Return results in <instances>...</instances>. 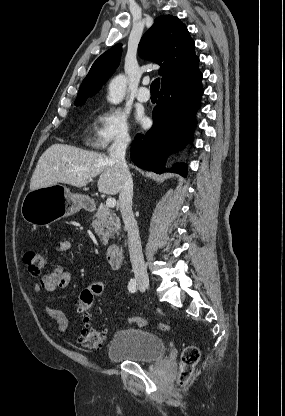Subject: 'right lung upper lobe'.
<instances>
[{
	"label": "right lung upper lobe",
	"mask_w": 285,
	"mask_h": 416,
	"mask_svg": "<svg viewBox=\"0 0 285 416\" xmlns=\"http://www.w3.org/2000/svg\"><path fill=\"white\" fill-rule=\"evenodd\" d=\"M195 43L186 26L176 17L163 15L155 18L152 27L143 35L138 46L141 58L158 63L161 88L178 79L197 73L199 58L194 52ZM121 44L103 53L92 65L83 80L74 105L80 106L96 94L101 85L118 67Z\"/></svg>",
	"instance_id": "obj_1"
}]
</instances>
